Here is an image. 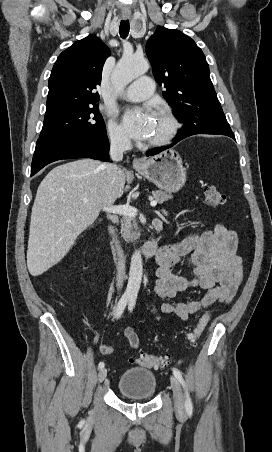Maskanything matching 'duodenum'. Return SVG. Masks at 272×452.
Segmentation results:
<instances>
[{"mask_svg":"<svg viewBox=\"0 0 272 452\" xmlns=\"http://www.w3.org/2000/svg\"><path fill=\"white\" fill-rule=\"evenodd\" d=\"M153 228L155 229V231L157 233H160L163 229V221L159 218H155L153 220ZM108 232L109 235L112 237L114 234V228L112 225L108 226ZM158 240L157 238H153L149 241H147L146 243H144L141 248H140V253L146 257V258H151L158 255Z\"/></svg>","mask_w":272,"mask_h":452,"instance_id":"obj_1","label":"duodenum"}]
</instances>
